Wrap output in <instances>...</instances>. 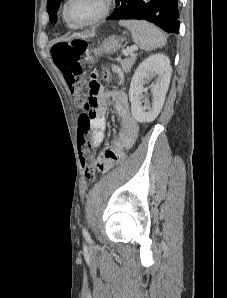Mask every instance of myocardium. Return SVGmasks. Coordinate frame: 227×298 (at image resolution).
Wrapping results in <instances>:
<instances>
[{"mask_svg": "<svg viewBox=\"0 0 227 298\" xmlns=\"http://www.w3.org/2000/svg\"><path fill=\"white\" fill-rule=\"evenodd\" d=\"M71 0H66L63 8V14L65 17V20L68 22L69 25L79 28V27H85L89 26L95 23H98L99 21L103 20L107 15L110 13L113 5V0H102V8L98 15H96L94 18L83 22V23H75L72 21V19L69 16V4Z\"/></svg>", "mask_w": 227, "mask_h": 298, "instance_id": "obj_1", "label": "myocardium"}]
</instances>
